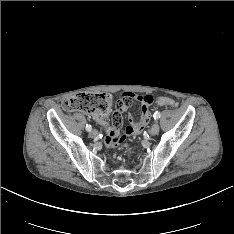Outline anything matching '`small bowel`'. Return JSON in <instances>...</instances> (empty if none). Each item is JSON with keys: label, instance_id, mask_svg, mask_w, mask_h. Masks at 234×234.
<instances>
[{"label": "small bowel", "instance_id": "c3829d8e", "mask_svg": "<svg viewBox=\"0 0 234 234\" xmlns=\"http://www.w3.org/2000/svg\"><path fill=\"white\" fill-rule=\"evenodd\" d=\"M148 98L150 100H148ZM138 101L141 105L142 116L139 122H135L132 115L128 114L129 126L125 130V135H138L141 132L140 127H144L148 124L150 120V110L149 106L153 103V97L150 95L138 96L135 92H129L127 94L120 95L119 99L115 100V109L112 112V119L110 125L104 118L96 116L95 119L99 122L105 131L104 143L107 146H117L121 144L125 136L119 135V130L122 128V112L125 111L130 104ZM161 104V103H159ZM162 105V104H161Z\"/></svg>", "mask_w": 234, "mask_h": 234}]
</instances>
